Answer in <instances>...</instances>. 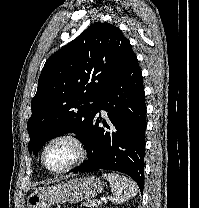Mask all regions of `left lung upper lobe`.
I'll return each mask as SVG.
<instances>
[{
  "instance_id": "5c2ea615",
  "label": "left lung upper lobe",
  "mask_w": 199,
  "mask_h": 208,
  "mask_svg": "<svg viewBox=\"0 0 199 208\" xmlns=\"http://www.w3.org/2000/svg\"><path fill=\"white\" fill-rule=\"evenodd\" d=\"M135 56L119 28L94 23L50 56L38 79L27 129L29 152L37 154L46 141L75 133L85 142L101 93Z\"/></svg>"
}]
</instances>
